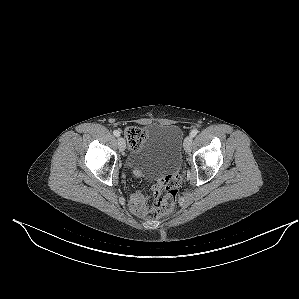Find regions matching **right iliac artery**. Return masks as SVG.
Here are the masks:
<instances>
[{
    "label": "right iliac artery",
    "instance_id": "right-iliac-artery-1",
    "mask_svg": "<svg viewBox=\"0 0 299 299\" xmlns=\"http://www.w3.org/2000/svg\"><path fill=\"white\" fill-rule=\"evenodd\" d=\"M113 134H114L116 137L120 136V132H119L118 130H114V131H113Z\"/></svg>",
    "mask_w": 299,
    "mask_h": 299
}]
</instances>
